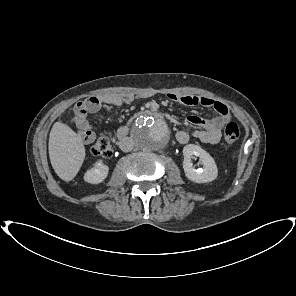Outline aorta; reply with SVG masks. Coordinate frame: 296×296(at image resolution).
<instances>
[{
    "label": "aorta",
    "mask_w": 296,
    "mask_h": 296,
    "mask_svg": "<svg viewBox=\"0 0 296 296\" xmlns=\"http://www.w3.org/2000/svg\"><path fill=\"white\" fill-rule=\"evenodd\" d=\"M135 144L146 151L162 150L169 142L170 129L166 122L151 116L140 117L132 131Z\"/></svg>",
    "instance_id": "762f6f07"
}]
</instances>
